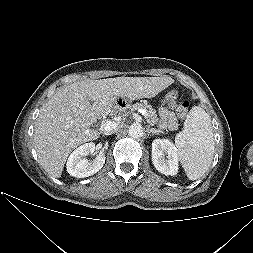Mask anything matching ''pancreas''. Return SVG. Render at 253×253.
<instances>
[{
  "label": "pancreas",
  "instance_id": "pancreas-1",
  "mask_svg": "<svg viewBox=\"0 0 253 253\" xmlns=\"http://www.w3.org/2000/svg\"><path fill=\"white\" fill-rule=\"evenodd\" d=\"M132 109H144L146 111L145 118L147 119V122L154 125L157 124L159 119L156 114V110L147 102L144 103H135L132 105Z\"/></svg>",
  "mask_w": 253,
  "mask_h": 253
}]
</instances>
